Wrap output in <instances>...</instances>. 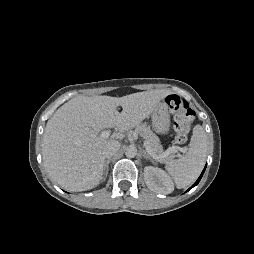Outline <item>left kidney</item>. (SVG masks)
Here are the masks:
<instances>
[{
    "instance_id": "5707ae66",
    "label": "left kidney",
    "mask_w": 254,
    "mask_h": 254,
    "mask_svg": "<svg viewBox=\"0 0 254 254\" xmlns=\"http://www.w3.org/2000/svg\"><path fill=\"white\" fill-rule=\"evenodd\" d=\"M144 180L147 187L155 193L170 194L174 190L171 178L160 168L146 166Z\"/></svg>"
}]
</instances>
